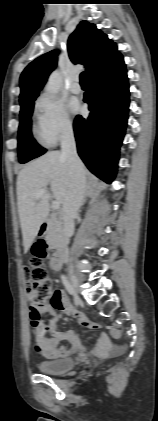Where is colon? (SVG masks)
I'll list each match as a JSON object with an SVG mask.
<instances>
[{
	"label": "colon",
	"instance_id": "colon-1",
	"mask_svg": "<svg viewBox=\"0 0 158 421\" xmlns=\"http://www.w3.org/2000/svg\"><path fill=\"white\" fill-rule=\"evenodd\" d=\"M45 254V243L43 241L37 242L33 247L34 258L31 261V267L24 268L32 323L40 319L38 308L47 304L53 296L52 281L41 265V260Z\"/></svg>",
	"mask_w": 158,
	"mask_h": 421
}]
</instances>
